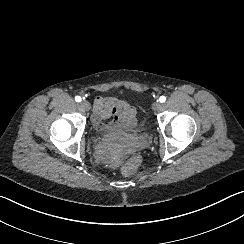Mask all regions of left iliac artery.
Listing matches in <instances>:
<instances>
[{"label": "left iliac artery", "instance_id": "left-iliac-artery-1", "mask_svg": "<svg viewBox=\"0 0 244 244\" xmlns=\"http://www.w3.org/2000/svg\"><path fill=\"white\" fill-rule=\"evenodd\" d=\"M159 101H160L161 103L165 102V101H166V97H165V96H161V97L159 98Z\"/></svg>", "mask_w": 244, "mask_h": 244}]
</instances>
